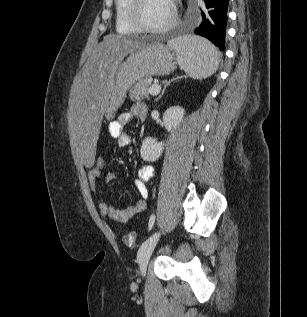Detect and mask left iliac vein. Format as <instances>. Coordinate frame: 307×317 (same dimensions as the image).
<instances>
[{"label":"left iliac vein","instance_id":"1","mask_svg":"<svg viewBox=\"0 0 307 317\" xmlns=\"http://www.w3.org/2000/svg\"><path fill=\"white\" fill-rule=\"evenodd\" d=\"M160 231L154 232L151 236H149L140 246L137 253V260L140 266L141 274L144 275L146 273V268L149 263L150 257L158 243L160 238Z\"/></svg>","mask_w":307,"mask_h":317}]
</instances>
